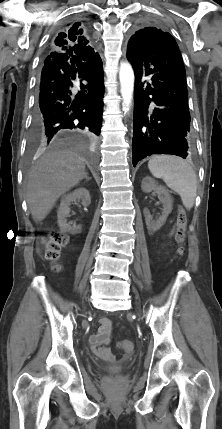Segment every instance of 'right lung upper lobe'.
<instances>
[{
    "mask_svg": "<svg viewBox=\"0 0 222 429\" xmlns=\"http://www.w3.org/2000/svg\"><path fill=\"white\" fill-rule=\"evenodd\" d=\"M81 34L82 32L78 31V25H74L66 33H59L51 42L49 55L52 53H69L81 61L97 56L98 53L88 45L89 41Z\"/></svg>",
    "mask_w": 222,
    "mask_h": 429,
    "instance_id": "1",
    "label": "right lung upper lobe"
}]
</instances>
